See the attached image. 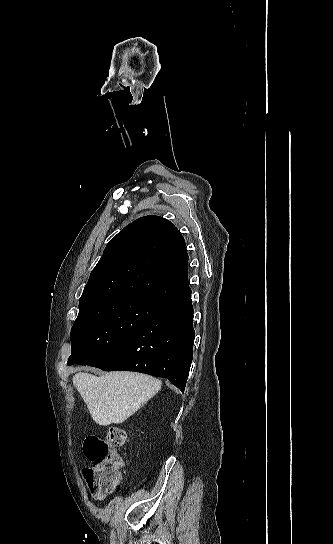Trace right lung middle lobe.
Returning <instances> with one entry per match:
<instances>
[{
	"mask_svg": "<svg viewBox=\"0 0 333 544\" xmlns=\"http://www.w3.org/2000/svg\"><path fill=\"white\" fill-rule=\"evenodd\" d=\"M168 301L148 295H123L79 303V314L71 330L72 352L68 365L100 353L128 338Z\"/></svg>",
	"mask_w": 333,
	"mask_h": 544,
	"instance_id": "dd1d6c3e",
	"label": "right lung middle lobe"
}]
</instances>
